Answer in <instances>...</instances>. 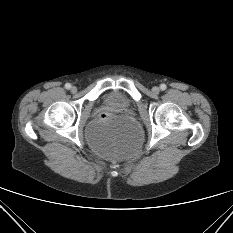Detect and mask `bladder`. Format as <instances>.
Instances as JSON below:
<instances>
[{"label": "bladder", "instance_id": "31cf9c89", "mask_svg": "<svg viewBox=\"0 0 233 233\" xmlns=\"http://www.w3.org/2000/svg\"><path fill=\"white\" fill-rule=\"evenodd\" d=\"M131 98L123 92L112 91L105 103L116 108L130 106ZM88 141L97 155L105 159H125L134 155L141 141V131L132 120L105 124L88 133Z\"/></svg>", "mask_w": 233, "mask_h": 233}]
</instances>
